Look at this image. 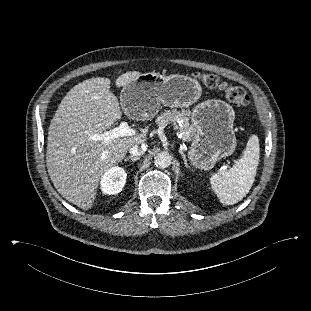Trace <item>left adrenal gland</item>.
Masks as SVG:
<instances>
[{"label":"left adrenal gland","instance_id":"obj_1","mask_svg":"<svg viewBox=\"0 0 311 311\" xmlns=\"http://www.w3.org/2000/svg\"><path fill=\"white\" fill-rule=\"evenodd\" d=\"M180 153L183 156L185 165L188 167L187 160H186V157H185L184 153L182 151H180Z\"/></svg>","mask_w":311,"mask_h":311}]
</instances>
